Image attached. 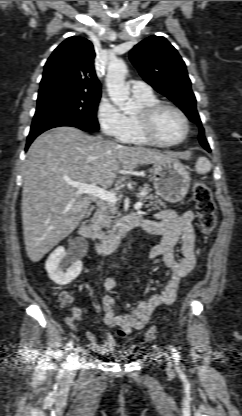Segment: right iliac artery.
<instances>
[{
    "label": "right iliac artery",
    "instance_id": "obj_1",
    "mask_svg": "<svg viewBox=\"0 0 242 416\" xmlns=\"http://www.w3.org/2000/svg\"><path fill=\"white\" fill-rule=\"evenodd\" d=\"M72 347H73V341L72 340H70L67 344H66V346H65V352L67 353V352H69L71 349H72ZM65 364V363H64Z\"/></svg>",
    "mask_w": 242,
    "mask_h": 416
}]
</instances>
